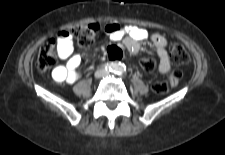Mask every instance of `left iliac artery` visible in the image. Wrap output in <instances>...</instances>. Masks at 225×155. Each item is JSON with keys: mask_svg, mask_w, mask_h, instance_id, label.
<instances>
[{"mask_svg": "<svg viewBox=\"0 0 225 155\" xmlns=\"http://www.w3.org/2000/svg\"><path fill=\"white\" fill-rule=\"evenodd\" d=\"M122 72H123L122 67H119L118 70L116 71L117 74H122Z\"/></svg>", "mask_w": 225, "mask_h": 155, "instance_id": "left-iliac-artery-1", "label": "left iliac artery"}]
</instances>
